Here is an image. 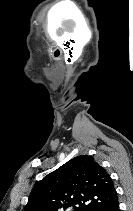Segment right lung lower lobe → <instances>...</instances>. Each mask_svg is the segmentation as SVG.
<instances>
[{
  "label": "right lung lower lobe",
  "instance_id": "right-lung-lower-lobe-1",
  "mask_svg": "<svg viewBox=\"0 0 133 211\" xmlns=\"http://www.w3.org/2000/svg\"><path fill=\"white\" fill-rule=\"evenodd\" d=\"M107 211H119L118 202L113 205L111 208H109Z\"/></svg>",
  "mask_w": 133,
  "mask_h": 211
}]
</instances>
